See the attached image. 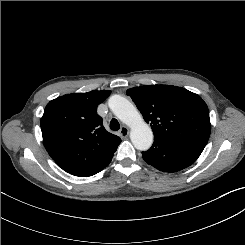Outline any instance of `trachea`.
<instances>
[{
    "mask_svg": "<svg viewBox=\"0 0 245 245\" xmlns=\"http://www.w3.org/2000/svg\"><path fill=\"white\" fill-rule=\"evenodd\" d=\"M119 128H120V124H119L118 120L113 118L110 121V129L113 131H117V130H119Z\"/></svg>",
    "mask_w": 245,
    "mask_h": 245,
    "instance_id": "obj_1",
    "label": "trachea"
}]
</instances>
